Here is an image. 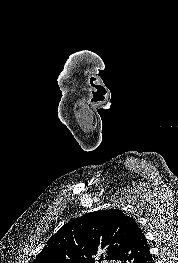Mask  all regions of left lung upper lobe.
<instances>
[{
  "mask_svg": "<svg viewBox=\"0 0 178 263\" xmlns=\"http://www.w3.org/2000/svg\"><path fill=\"white\" fill-rule=\"evenodd\" d=\"M133 221L119 209L85 214L61 227L33 263H95V256L113 260Z\"/></svg>",
  "mask_w": 178,
  "mask_h": 263,
  "instance_id": "left-lung-upper-lobe-1",
  "label": "left lung upper lobe"
}]
</instances>
